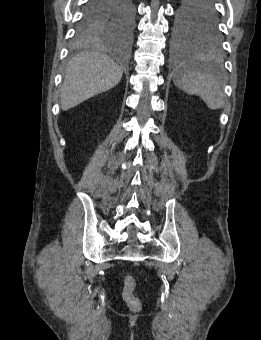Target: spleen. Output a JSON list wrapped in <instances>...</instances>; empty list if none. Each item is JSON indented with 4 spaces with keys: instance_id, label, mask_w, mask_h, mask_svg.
Wrapping results in <instances>:
<instances>
[{
    "instance_id": "obj_1",
    "label": "spleen",
    "mask_w": 261,
    "mask_h": 340,
    "mask_svg": "<svg viewBox=\"0 0 261 340\" xmlns=\"http://www.w3.org/2000/svg\"><path fill=\"white\" fill-rule=\"evenodd\" d=\"M174 82L186 93L201 97L211 110L225 105V95L218 82L196 63L182 64L176 71Z\"/></svg>"
}]
</instances>
